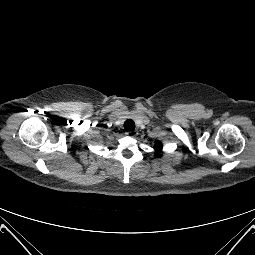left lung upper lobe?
Masks as SVG:
<instances>
[{
	"instance_id": "1",
	"label": "left lung upper lobe",
	"mask_w": 255,
	"mask_h": 255,
	"mask_svg": "<svg viewBox=\"0 0 255 255\" xmlns=\"http://www.w3.org/2000/svg\"><path fill=\"white\" fill-rule=\"evenodd\" d=\"M155 148H156V153H155L156 157H160L161 156V149H162L161 142L157 141L155 143Z\"/></svg>"
}]
</instances>
